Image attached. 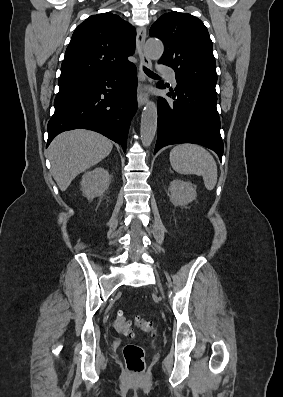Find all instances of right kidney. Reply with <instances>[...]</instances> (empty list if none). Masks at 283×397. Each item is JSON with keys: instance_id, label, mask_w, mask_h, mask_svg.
<instances>
[{"instance_id": "1", "label": "right kidney", "mask_w": 283, "mask_h": 397, "mask_svg": "<svg viewBox=\"0 0 283 397\" xmlns=\"http://www.w3.org/2000/svg\"><path fill=\"white\" fill-rule=\"evenodd\" d=\"M110 184L108 170L102 167L84 173L81 180V190L87 199L102 196Z\"/></svg>"}]
</instances>
